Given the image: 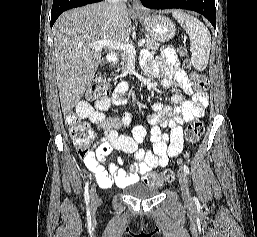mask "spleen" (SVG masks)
Here are the masks:
<instances>
[{
  "mask_svg": "<svg viewBox=\"0 0 257 237\" xmlns=\"http://www.w3.org/2000/svg\"><path fill=\"white\" fill-rule=\"evenodd\" d=\"M173 17L189 35L193 67L198 71H203L207 67L210 55L209 30L201 21L181 11H174Z\"/></svg>",
  "mask_w": 257,
  "mask_h": 237,
  "instance_id": "1",
  "label": "spleen"
}]
</instances>
